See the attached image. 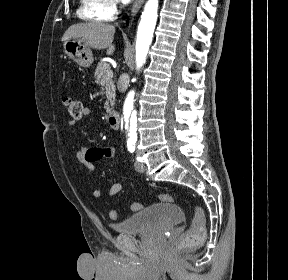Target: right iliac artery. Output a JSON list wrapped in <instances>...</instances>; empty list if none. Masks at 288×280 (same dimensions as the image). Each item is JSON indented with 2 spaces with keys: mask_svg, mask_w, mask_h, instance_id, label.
Listing matches in <instances>:
<instances>
[{
  "mask_svg": "<svg viewBox=\"0 0 288 280\" xmlns=\"http://www.w3.org/2000/svg\"><path fill=\"white\" fill-rule=\"evenodd\" d=\"M127 146H128V150H129L131 153L135 150V146H134V144H133L131 141H129V142L127 143Z\"/></svg>",
  "mask_w": 288,
  "mask_h": 280,
  "instance_id": "1",
  "label": "right iliac artery"
}]
</instances>
